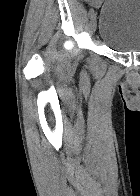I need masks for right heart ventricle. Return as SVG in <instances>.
I'll return each instance as SVG.
<instances>
[{
	"mask_svg": "<svg viewBox=\"0 0 140 196\" xmlns=\"http://www.w3.org/2000/svg\"><path fill=\"white\" fill-rule=\"evenodd\" d=\"M81 192H98V191H81ZM107 192H114V191H107Z\"/></svg>",
	"mask_w": 140,
	"mask_h": 196,
	"instance_id": "1",
	"label": "right heart ventricle"
}]
</instances>
